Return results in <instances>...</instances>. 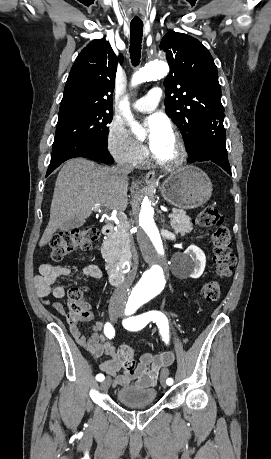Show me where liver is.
Returning <instances> with one entry per match:
<instances>
[{"label": "liver", "mask_w": 271, "mask_h": 459, "mask_svg": "<svg viewBox=\"0 0 271 459\" xmlns=\"http://www.w3.org/2000/svg\"><path fill=\"white\" fill-rule=\"evenodd\" d=\"M128 178L113 168L99 166L86 158L68 160L56 180L50 208V220L39 245L50 241L54 231L72 218L86 220L92 208L126 210Z\"/></svg>", "instance_id": "liver-1"}]
</instances>
